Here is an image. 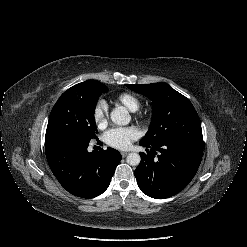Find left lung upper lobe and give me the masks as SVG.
Masks as SVG:
<instances>
[{
	"mask_svg": "<svg viewBox=\"0 0 247 247\" xmlns=\"http://www.w3.org/2000/svg\"><path fill=\"white\" fill-rule=\"evenodd\" d=\"M126 87L152 100V120L140 143L158 144L173 140L203 142L199 116L188 98L165 83Z\"/></svg>",
	"mask_w": 247,
	"mask_h": 247,
	"instance_id": "left-lung-upper-lobe-1",
	"label": "left lung upper lobe"
}]
</instances>
